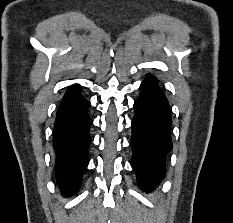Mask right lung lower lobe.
I'll use <instances>...</instances> for the list:
<instances>
[{
	"label": "right lung lower lobe",
	"instance_id": "1",
	"mask_svg": "<svg viewBox=\"0 0 233 223\" xmlns=\"http://www.w3.org/2000/svg\"><path fill=\"white\" fill-rule=\"evenodd\" d=\"M79 89V85H73L66 92L54 125L56 178L64 196L73 195L79 189L91 143L92 121L87 113L90 102Z\"/></svg>",
	"mask_w": 233,
	"mask_h": 223
}]
</instances>
